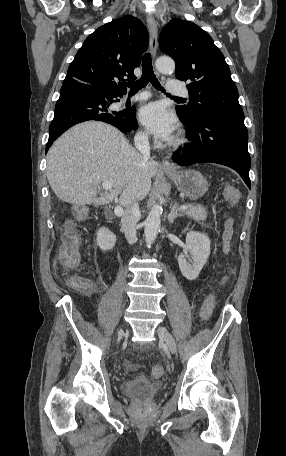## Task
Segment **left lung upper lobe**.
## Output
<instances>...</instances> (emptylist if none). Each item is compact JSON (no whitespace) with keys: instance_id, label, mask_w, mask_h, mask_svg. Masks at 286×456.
Masks as SVG:
<instances>
[{"instance_id":"obj_1","label":"left lung upper lobe","mask_w":286,"mask_h":456,"mask_svg":"<svg viewBox=\"0 0 286 456\" xmlns=\"http://www.w3.org/2000/svg\"><path fill=\"white\" fill-rule=\"evenodd\" d=\"M159 45L175 60L176 78L190 82V102L176 106L182 118L191 122L201 114L216 113L244 120L230 69L206 31L175 18L162 29Z\"/></svg>"}]
</instances>
